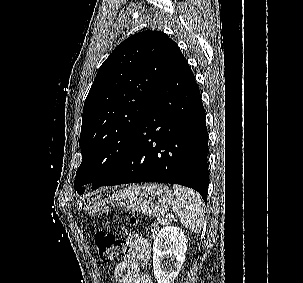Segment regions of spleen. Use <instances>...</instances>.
Wrapping results in <instances>:
<instances>
[{"label": "spleen", "instance_id": "1", "mask_svg": "<svg viewBox=\"0 0 303 283\" xmlns=\"http://www.w3.org/2000/svg\"><path fill=\"white\" fill-rule=\"evenodd\" d=\"M175 198L172 203L173 212L179 217L181 224L192 232L198 233L204 224L205 208L200 194L190 188L173 185Z\"/></svg>", "mask_w": 303, "mask_h": 283}]
</instances>
